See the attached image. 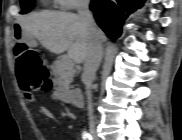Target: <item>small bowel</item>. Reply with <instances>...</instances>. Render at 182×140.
Returning a JSON list of instances; mask_svg holds the SVG:
<instances>
[{"instance_id": "obj_1", "label": "small bowel", "mask_w": 182, "mask_h": 140, "mask_svg": "<svg viewBox=\"0 0 182 140\" xmlns=\"http://www.w3.org/2000/svg\"><path fill=\"white\" fill-rule=\"evenodd\" d=\"M41 112H42V114L45 116V117H47V118H52V113L50 112V110L49 109H47V108H45V107H42L41 108Z\"/></svg>"}]
</instances>
